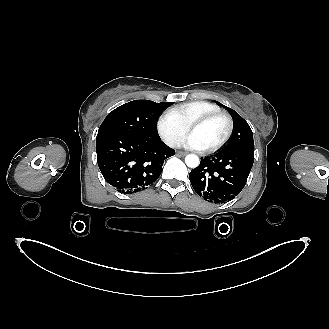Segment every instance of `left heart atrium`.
<instances>
[{
    "label": "left heart atrium",
    "mask_w": 329,
    "mask_h": 329,
    "mask_svg": "<svg viewBox=\"0 0 329 329\" xmlns=\"http://www.w3.org/2000/svg\"><path fill=\"white\" fill-rule=\"evenodd\" d=\"M181 146L187 149L202 150V146L195 136L189 134L182 142Z\"/></svg>",
    "instance_id": "obj_1"
}]
</instances>
